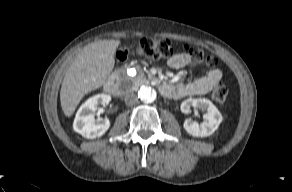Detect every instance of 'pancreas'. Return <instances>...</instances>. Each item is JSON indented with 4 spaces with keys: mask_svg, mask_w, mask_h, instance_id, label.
<instances>
[{
    "mask_svg": "<svg viewBox=\"0 0 292 192\" xmlns=\"http://www.w3.org/2000/svg\"><path fill=\"white\" fill-rule=\"evenodd\" d=\"M149 79H153V77L151 75H149ZM144 80H145V76L143 73H140L139 75H137L133 78V81L135 83H141Z\"/></svg>",
    "mask_w": 292,
    "mask_h": 192,
    "instance_id": "1",
    "label": "pancreas"
}]
</instances>
